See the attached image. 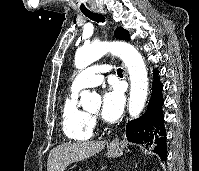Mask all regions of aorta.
<instances>
[{"label": "aorta", "instance_id": "aorta-1", "mask_svg": "<svg viewBox=\"0 0 199 171\" xmlns=\"http://www.w3.org/2000/svg\"><path fill=\"white\" fill-rule=\"evenodd\" d=\"M108 52L119 56L127 66L131 82L129 114L136 118L141 113L147 98L148 78L143 58L134 46L125 42L92 43L77 50L75 66L83 69ZM96 102H100L98 95L89 91L81 92V104L84 108H89Z\"/></svg>", "mask_w": 199, "mask_h": 171}]
</instances>
